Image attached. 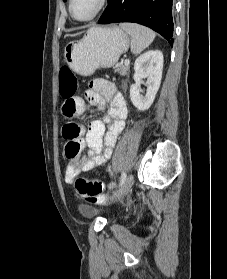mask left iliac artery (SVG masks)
Here are the masks:
<instances>
[{"label": "left iliac artery", "instance_id": "1", "mask_svg": "<svg viewBox=\"0 0 227 279\" xmlns=\"http://www.w3.org/2000/svg\"><path fill=\"white\" fill-rule=\"evenodd\" d=\"M126 173L123 172L122 175H121V180H120V184L119 186H122L124 184V182L126 181Z\"/></svg>", "mask_w": 227, "mask_h": 279}]
</instances>
